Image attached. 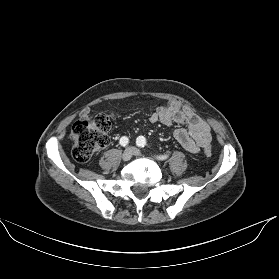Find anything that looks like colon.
<instances>
[{"instance_id":"colon-1","label":"colon","mask_w":279,"mask_h":279,"mask_svg":"<svg viewBox=\"0 0 279 279\" xmlns=\"http://www.w3.org/2000/svg\"><path fill=\"white\" fill-rule=\"evenodd\" d=\"M113 116L100 113L95 116L82 115L71 129L73 141L72 156L79 163L87 162L92 155L109 143L108 131L112 126ZM212 148L204 149L206 155H211Z\"/></svg>"}]
</instances>
